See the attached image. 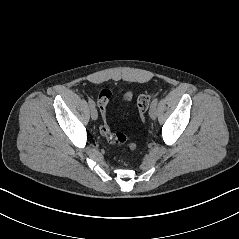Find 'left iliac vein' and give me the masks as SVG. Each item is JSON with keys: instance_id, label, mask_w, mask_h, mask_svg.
<instances>
[{"instance_id": "obj_1", "label": "left iliac vein", "mask_w": 239, "mask_h": 239, "mask_svg": "<svg viewBox=\"0 0 239 239\" xmlns=\"http://www.w3.org/2000/svg\"><path fill=\"white\" fill-rule=\"evenodd\" d=\"M149 115H150L151 119H153V120L156 119V117H157V109H156V106H155V107H150Z\"/></svg>"}]
</instances>
